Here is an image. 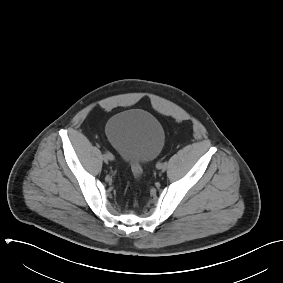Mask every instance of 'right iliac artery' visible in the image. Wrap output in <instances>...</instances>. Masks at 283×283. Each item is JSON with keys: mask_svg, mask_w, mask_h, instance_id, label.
I'll return each instance as SVG.
<instances>
[{"mask_svg": "<svg viewBox=\"0 0 283 283\" xmlns=\"http://www.w3.org/2000/svg\"><path fill=\"white\" fill-rule=\"evenodd\" d=\"M107 155H111L112 156V160L114 159L113 155L109 152H106Z\"/></svg>", "mask_w": 283, "mask_h": 283, "instance_id": "right-iliac-artery-1", "label": "right iliac artery"}]
</instances>
